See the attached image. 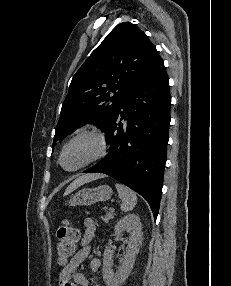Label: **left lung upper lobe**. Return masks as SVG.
Here are the masks:
<instances>
[{
    "label": "left lung upper lobe",
    "instance_id": "1",
    "mask_svg": "<svg viewBox=\"0 0 231 286\" xmlns=\"http://www.w3.org/2000/svg\"><path fill=\"white\" fill-rule=\"evenodd\" d=\"M160 59L143 31L130 22L118 24L74 75L53 146L86 123L104 131L125 93Z\"/></svg>",
    "mask_w": 231,
    "mask_h": 286
}]
</instances>
